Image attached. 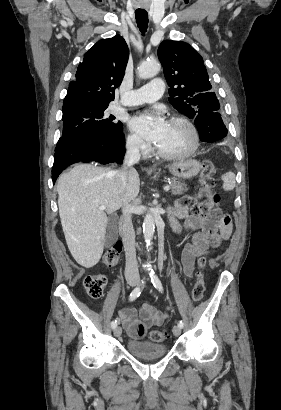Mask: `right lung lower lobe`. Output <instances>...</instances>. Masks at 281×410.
Segmentation results:
<instances>
[{
	"label": "right lung lower lobe",
	"mask_w": 281,
	"mask_h": 410,
	"mask_svg": "<svg viewBox=\"0 0 281 410\" xmlns=\"http://www.w3.org/2000/svg\"><path fill=\"white\" fill-rule=\"evenodd\" d=\"M124 148V134L112 138L82 139L57 146L52 167L53 183L59 174L73 163L90 161L100 164L122 163Z\"/></svg>",
	"instance_id": "98d812e1"
}]
</instances>
